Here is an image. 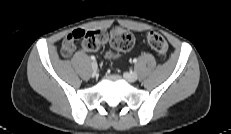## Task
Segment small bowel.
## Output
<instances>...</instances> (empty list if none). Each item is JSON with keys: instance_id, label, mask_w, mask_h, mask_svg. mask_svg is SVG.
Returning <instances> with one entry per match:
<instances>
[{"instance_id": "small-bowel-1", "label": "small bowel", "mask_w": 231, "mask_h": 134, "mask_svg": "<svg viewBox=\"0 0 231 134\" xmlns=\"http://www.w3.org/2000/svg\"><path fill=\"white\" fill-rule=\"evenodd\" d=\"M75 38L73 37V32L68 34L65 39L62 42V55L64 57H69L70 55H72V53L75 50ZM84 50H87V48H85V46H83Z\"/></svg>"}]
</instances>
